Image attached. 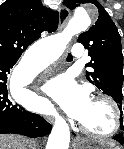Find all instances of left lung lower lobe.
I'll use <instances>...</instances> for the list:
<instances>
[{
	"label": "left lung lower lobe",
	"instance_id": "0a47b994",
	"mask_svg": "<svg viewBox=\"0 0 124 149\" xmlns=\"http://www.w3.org/2000/svg\"><path fill=\"white\" fill-rule=\"evenodd\" d=\"M114 139L123 145L124 143L123 134H117L116 136H114Z\"/></svg>",
	"mask_w": 124,
	"mask_h": 149
}]
</instances>
